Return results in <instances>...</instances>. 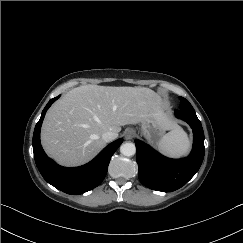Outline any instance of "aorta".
<instances>
[{"label": "aorta", "mask_w": 243, "mask_h": 243, "mask_svg": "<svg viewBox=\"0 0 243 243\" xmlns=\"http://www.w3.org/2000/svg\"><path fill=\"white\" fill-rule=\"evenodd\" d=\"M120 152L124 156H133L136 153V147L134 143L125 142L120 146Z\"/></svg>", "instance_id": "762f6f07"}]
</instances>
